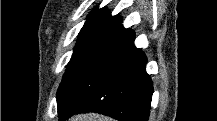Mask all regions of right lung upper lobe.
Segmentation results:
<instances>
[{
	"mask_svg": "<svg viewBox=\"0 0 217 121\" xmlns=\"http://www.w3.org/2000/svg\"><path fill=\"white\" fill-rule=\"evenodd\" d=\"M121 21L122 18L120 16L118 15L111 16V14L108 12V10L105 7L101 9H98V7H96L94 11H92L87 17L84 26L90 24L102 23V22L121 23Z\"/></svg>",
	"mask_w": 217,
	"mask_h": 121,
	"instance_id": "1",
	"label": "right lung upper lobe"
}]
</instances>
